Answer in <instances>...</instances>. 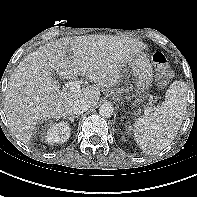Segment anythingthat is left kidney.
<instances>
[{
	"label": "left kidney",
	"instance_id": "obj_1",
	"mask_svg": "<svg viewBox=\"0 0 197 197\" xmlns=\"http://www.w3.org/2000/svg\"><path fill=\"white\" fill-rule=\"evenodd\" d=\"M131 130V126H129V131Z\"/></svg>",
	"mask_w": 197,
	"mask_h": 197
}]
</instances>
